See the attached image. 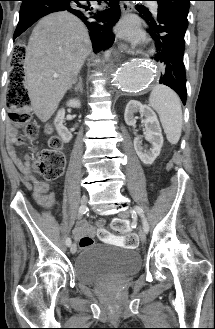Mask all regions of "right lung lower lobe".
Instances as JSON below:
<instances>
[{
    "instance_id": "1",
    "label": "right lung lower lobe",
    "mask_w": 215,
    "mask_h": 329,
    "mask_svg": "<svg viewBox=\"0 0 215 329\" xmlns=\"http://www.w3.org/2000/svg\"><path fill=\"white\" fill-rule=\"evenodd\" d=\"M81 1L94 0H22L19 22L14 33V39L41 17L58 11H68L80 18L89 30L94 51L110 47L114 42L112 26L120 18V0H97L108 3V8L103 12H92L90 6L81 4ZM100 22L104 23L103 25ZM17 70L19 64L14 65Z\"/></svg>"
}]
</instances>
